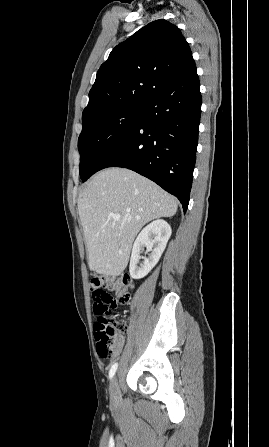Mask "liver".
<instances>
[{
    "label": "liver",
    "instance_id": "liver-1",
    "mask_svg": "<svg viewBox=\"0 0 269 447\" xmlns=\"http://www.w3.org/2000/svg\"><path fill=\"white\" fill-rule=\"evenodd\" d=\"M77 204L89 267L104 275L124 271L143 225L156 218H171L178 208L174 196L124 168H107L95 174L79 194ZM112 216H120V220L114 222Z\"/></svg>",
    "mask_w": 269,
    "mask_h": 447
}]
</instances>
